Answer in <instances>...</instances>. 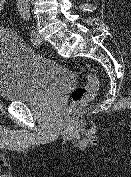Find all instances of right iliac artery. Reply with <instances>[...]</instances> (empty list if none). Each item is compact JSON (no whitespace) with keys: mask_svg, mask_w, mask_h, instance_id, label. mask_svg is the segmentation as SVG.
Segmentation results:
<instances>
[{"mask_svg":"<svg viewBox=\"0 0 131 177\" xmlns=\"http://www.w3.org/2000/svg\"><path fill=\"white\" fill-rule=\"evenodd\" d=\"M21 9H23V7H22V6L20 7V10H21Z\"/></svg>","mask_w":131,"mask_h":177,"instance_id":"obj_1","label":"right iliac artery"}]
</instances>
